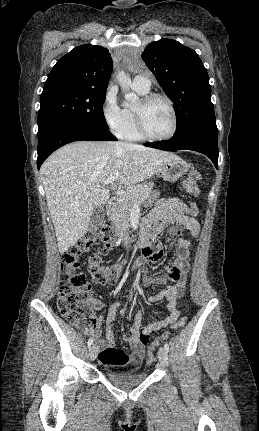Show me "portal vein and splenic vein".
I'll return each instance as SVG.
<instances>
[{
    "instance_id": "18ae733b",
    "label": "portal vein and splenic vein",
    "mask_w": 259,
    "mask_h": 431,
    "mask_svg": "<svg viewBox=\"0 0 259 431\" xmlns=\"http://www.w3.org/2000/svg\"><path fill=\"white\" fill-rule=\"evenodd\" d=\"M120 176V172H116L113 175L109 176L105 181H104V185H109L111 183H113L114 181H116Z\"/></svg>"
}]
</instances>
